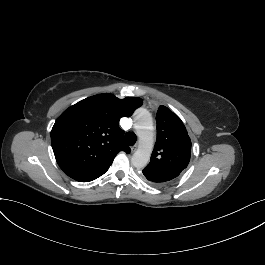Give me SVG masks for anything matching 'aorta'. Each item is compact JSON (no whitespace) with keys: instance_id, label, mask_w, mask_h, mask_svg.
Here are the masks:
<instances>
[{"instance_id":"aorta-1","label":"aorta","mask_w":265,"mask_h":265,"mask_svg":"<svg viewBox=\"0 0 265 265\" xmlns=\"http://www.w3.org/2000/svg\"><path fill=\"white\" fill-rule=\"evenodd\" d=\"M135 127L139 131V147L131 157V163L136 168L145 167L153 149V119L151 114L144 108H140L135 114Z\"/></svg>"}]
</instances>
